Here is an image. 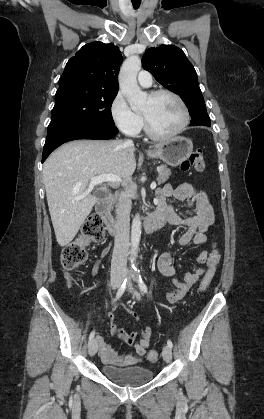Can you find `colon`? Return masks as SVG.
I'll use <instances>...</instances> for the list:
<instances>
[{
    "mask_svg": "<svg viewBox=\"0 0 264 419\" xmlns=\"http://www.w3.org/2000/svg\"><path fill=\"white\" fill-rule=\"evenodd\" d=\"M205 167L203 154L200 151H194L183 163L181 169L186 171L190 168L196 171H202ZM104 238V227L101 217L92 215L85 222L79 239L69 243L64 247L61 253V264L67 272H71L82 265L86 258L87 252L85 245L89 242H100ZM214 268H209L201 282L200 290L205 291L210 285L214 277ZM147 358L154 362L158 358L156 350L152 349L148 352Z\"/></svg>",
    "mask_w": 264,
    "mask_h": 419,
    "instance_id": "1",
    "label": "colon"
}]
</instances>
